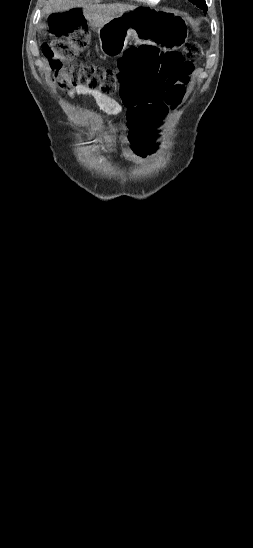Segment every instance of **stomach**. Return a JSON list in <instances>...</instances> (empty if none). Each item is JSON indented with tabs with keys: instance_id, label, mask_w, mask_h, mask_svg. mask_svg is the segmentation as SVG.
I'll return each mask as SVG.
<instances>
[{
	"instance_id": "1",
	"label": "stomach",
	"mask_w": 253,
	"mask_h": 548,
	"mask_svg": "<svg viewBox=\"0 0 253 548\" xmlns=\"http://www.w3.org/2000/svg\"><path fill=\"white\" fill-rule=\"evenodd\" d=\"M100 49L105 56L121 55L129 41L137 44L161 43L177 47L187 37L186 21L171 11L137 8L113 18L97 29Z\"/></svg>"
}]
</instances>
